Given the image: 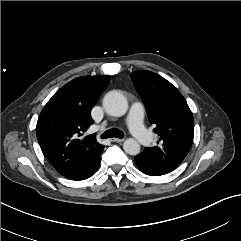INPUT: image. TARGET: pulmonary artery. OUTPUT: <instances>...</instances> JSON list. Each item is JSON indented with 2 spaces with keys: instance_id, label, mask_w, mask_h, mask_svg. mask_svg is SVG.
I'll return each mask as SVG.
<instances>
[{
  "instance_id": "pulmonary-artery-1",
  "label": "pulmonary artery",
  "mask_w": 241,
  "mask_h": 241,
  "mask_svg": "<svg viewBox=\"0 0 241 241\" xmlns=\"http://www.w3.org/2000/svg\"><path fill=\"white\" fill-rule=\"evenodd\" d=\"M143 107L136 102L132 105L129 116L128 125L135 139L141 144L147 146L152 141L151 133L143 126Z\"/></svg>"
}]
</instances>
